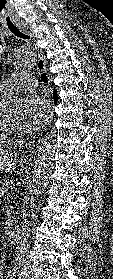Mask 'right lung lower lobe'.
<instances>
[{
    "mask_svg": "<svg viewBox=\"0 0 113 279\" xmlns=\"http://www.w3.org/2000/svg\"><path fill=\"white\" fill-rule=\"evenodd\" d=\"M54 98H55V103H56V101H57V92L56 91H54Z\"/></svg>",
    "mask_w": 113,
    "mask_h": 279,
    "instance_id": "98d812e1",
    "label": "right lung lower lobe"
}]
</instances>
